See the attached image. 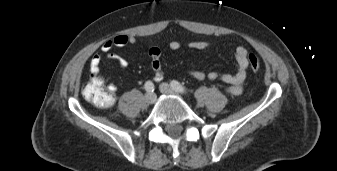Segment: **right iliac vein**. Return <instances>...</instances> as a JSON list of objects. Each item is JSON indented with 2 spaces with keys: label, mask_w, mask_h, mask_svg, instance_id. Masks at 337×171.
Masks as SVG:
<instances>
[{
  "label": "right iliac vein",
  "mask_w": 337,
  "mask_h": 171,
  "mask_svg": "<svg viewBox=\"0 0 337 171\" xmlns=\"http://www.w3.org/2000/svg\"><path fill=\"white\" fill-rule=\"evenodd\" d=\"M157 99V96L153 92H149L145 95V100L148 104H154Z\"/></svg>",
  "instance_id": "63e3f726"
}]
</instances>
